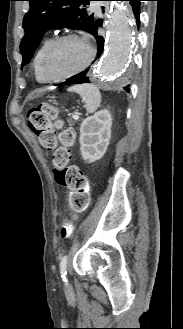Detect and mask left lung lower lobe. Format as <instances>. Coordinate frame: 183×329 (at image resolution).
<instances>
[{"mask_svg":"<svg viewBox=\"0 0 183 329\" xmlns=\"http://www.w3.org/2000/svg\"><path fill=\"white\" fill-rule=\"evenodd\" d=\"M103 1H110V0H103ZM125 1L130 2L131 6L133 8V12H134V15L136 18L137 25L139 26V24H140L139 9H140V1H142V0H125ZM102 9H103L102 12L104 13L105 12L104 7H102ZM101 26H102V20L95 19L94 25L89 32L95 37V39L97 41V58H99L102 55L103 50H104V38H103V36L98 34V27H101ZM87 72H88V69L68 78L65 82L58 84V86L69 85V84L89 83L90 81L88 79ZM124 89L127 92H129V85L124 87Z\"/></svg>","mask_w":183,"mask_h":329,"instance_id":"1","label":"left lung lower lobe"}]
</instances>
